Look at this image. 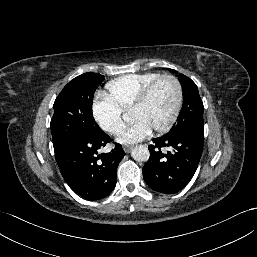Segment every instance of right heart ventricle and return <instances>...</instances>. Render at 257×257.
<instances>
[{"mask_svg":"<svg viewBox=\"0 0 257 257\" xmlns=\"http://www.w3.org/2000/svg\"><path fill=\"white\" fill-rule=\"evenodd\" d=\"M158 76L159 73L146 72L118 77L106 84L107 97L119 109L128 111L141 91Z\"/></svg>","mask_w":257,"mask_h":257,"instance_id":"1","label":"right heart ventricle"}]
</instances>
